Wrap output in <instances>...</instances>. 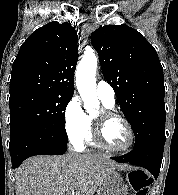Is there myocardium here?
<instances>
[{
	"label": "myocardium",
	"mask_w": 178,
	"mask_h": 195,
	"mask_svg": "<svg viewBox=\"0 0 178 195\" xmlns=\"http://www.w3.org/2000/svg\"><path fill=\"white\" fill-rule=\"evenodd\" d=\"M110 120H119L121 121L127 128L130 136L129 143L126 147L124 148H114L107 144L104 138V127L106 123ZM93 122V139L95 143L108 151L111 152H116V153H124L128 152L134 145L135 143V133L132 125L130 122L123 117L122 115L118 114L112 109L109 108H103L99 114L92 119Z\"/></svg>",
	"instance_id": "myocardium-1"
}]
</instances>
